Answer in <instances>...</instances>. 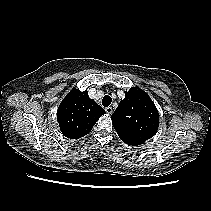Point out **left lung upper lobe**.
<instances>
[{"label": "left lung upper lobe", "instance_id": "left-lung-upper-lobe-1", "mask_svg": "<svg viewBox=\"0 0 211 211\" xmlns=\"http://www.w3.org/2000/svg\"><path fill=\"white\" fill-rule=\"evenodd\" d=\"M112 124L124 143L138 146L156 134L159 113L149 95L133 87L113 113Z\"/></svg>", "mask_w": 211, "mask_h": 211}]
</instances>
